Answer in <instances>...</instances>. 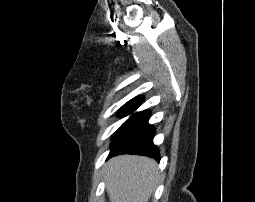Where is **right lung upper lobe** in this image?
<instances>
[{"label": "right lung upper lobe", "mask_w": 255, "mask_h": 202, "mask_svg": "<svg viewBox=\"0 0 255 202\" xmlns=\"http://www.w3.org/2000/svg\"><path fill=\"white\" fill-rule=\"evenodd\" d=\"M142 101V97L133 98L121 107L119 114H127L133 112L141 104Z\"/></svg>", "instance_id": "cb5924a9"}]
</instances>
